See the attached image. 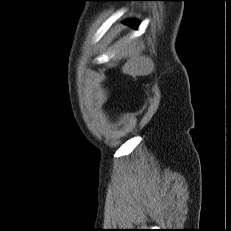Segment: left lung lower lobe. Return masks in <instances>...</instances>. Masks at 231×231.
Instances as JSON below:
<instances>
[{
    "mask_svg": "<svg viewBox=\"0 0 231 231\" xmlns=\"http://www.w3.org/2000/svg\"><path fill=\"white\" fill-rule=\"evenodd\" d=\"M126 24L132 26L133 28H137L138 23L136 21H129V22H125Z\"/></svg>",
    "mask_w": 231,
    "mask_h": 231,
    "instance_id": "obj_1",
    "label": "left lung lower lobe"
}]
</instances>
